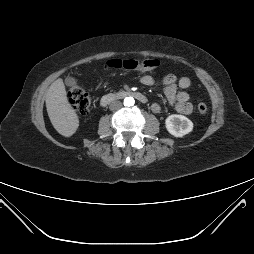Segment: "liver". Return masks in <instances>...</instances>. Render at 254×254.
<instances>
[{
	"label": "liver",
	"mask_w": 254,
	"mask_h": 254,
	"mask_svg": "<svg viewBox=\"0 0 254 254\" xmlns=\"http://www.w3.org/2000/svg\"><path fill=\"white\" fill-rule=\"evenodd\" d=\"M45 101L49 119L55 130L62 136H72L79 126V118L68 102L61 78L50 85Z\"/></svg>",
	"instance_id": "1"
}]
</instances>
